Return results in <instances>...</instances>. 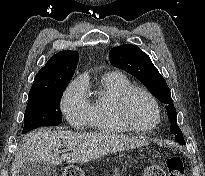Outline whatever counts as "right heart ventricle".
Here are the masks:
<instances>
[{
	"label": "right heart ventricle",
	"instance_id": "right-heart-ventricle-1",
	"mask_svg": "<svg viewBox=\"0 0 205 176\" xmlns=\"http://www.w3.org/2000/svg\"><path fill=\"white\" fill-rule=\"evenodd\" d=\"M133 84L122 73H105L100 80L99 89L89 101V122L94 131L101 134H119L131 130L119 115L120 96Z\"/></svg>",
	"mask_w": 205,
	"mask_h": 176
}]
</instances>
